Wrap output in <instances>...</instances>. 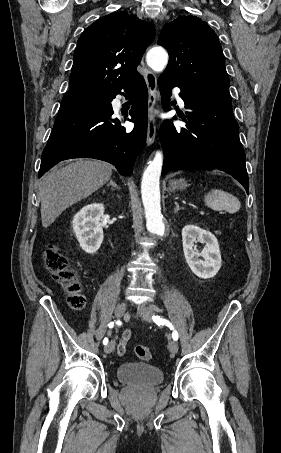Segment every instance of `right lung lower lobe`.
I'll return each mask as SVG.
<instances>
[{"instance_id": "1", "label": "right lung lower lobe", "mask_w": 281, "mask_h": 453, "mask_svg": "<svg viewBox=\"0 0 281 453\" xmlns=\"http://www.w3.org/2000/svg\"><path fill=\"white\" fill-rule=\"evenodd\" d=\"M131 93V122L126 132L121 117L113 116L111 101L117 94ZM148 92L138 74L115 92H76L65 94L49 140L42 153L39 178L58 162L71 158H96L113 164L128 176L141 152L147 134ZM127 113L123 117L126 120Z\"/></svg>"}]
</instances>
